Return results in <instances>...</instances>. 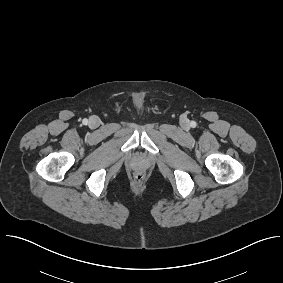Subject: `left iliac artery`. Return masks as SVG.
<instances>
[{
    "label": "left iliac artery",
    "instance_id": "44dca946",
    "mask_svg": "<svg viewBox=\"0 0 283 283\" xmlns=\"http://www.w3.org/2000/svg\"><path fill=\"white\" fill-rule=\"evenodd\" d=\"M191 127H193V128L196 127V122L195 121L191 122Z\"/></svg>",
    "mask_w": 283,
    "mask_h": 283
}]
</instances>
